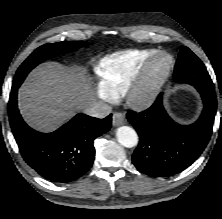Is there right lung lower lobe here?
Segmentation results:
<instances>
[{
	"instance_id": "98d812e1",
	"label": "right lung lower lobe",
	"mask_w": 222,
	"mask_h": 219,
	"mask_svg": "<svg viewBox=\"0 0 222 219\" xmlns=\"http://www.w3.org/2000/svg\"><path fill=\"white\" fill-rule=\"evenodd\" d=\"M17 90L12 86L9 99V121L22 157L42 177L56 183H67L83 176L92 166L94 140L111 127V116L97 119L78 114L52 133L30 128L20 116Z\"/></svg>"
}]
</instances>
